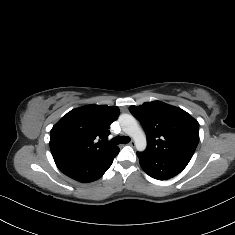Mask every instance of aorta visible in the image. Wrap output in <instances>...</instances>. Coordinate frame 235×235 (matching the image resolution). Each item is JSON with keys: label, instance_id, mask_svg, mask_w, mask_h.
Returning <instances> with one entry per match:
<instances>
[{"label": "aorta", "instance_id": "aorta-1", "mask_svg": "<svg viewBox=\"0 0 235 235\" xmlns=\"http://www.w3.org/2000/svg\"><path fill=\"white\" fill-rule=\"evenodd\" d=\"M119 122L123 131L133 139L137 150H144L147 144L146 135L138 121L131 115L123 114L120 116Z\"/></svg>", "mask_w": 235, "mask_h": 235}]
</instances>
